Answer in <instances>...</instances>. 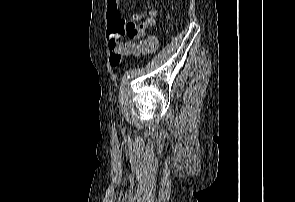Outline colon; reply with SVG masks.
Wrapping results in <instances>:
<instances>
[{
	"instance_id": "colon-1",
	"label": "colon",
	"mask_w": 295,
	"mask_h": 202,
	"mask_svg": "<svg viewBox=\"0 0 295 202\" xmlns=\"http://www.w3.org/2000/svg\"><path fill=\"white\" fill-rule=\"evenodd\" d=\"M111 24L110 31V46L111 49L119 48L127 43L133 42L142 35L143 25L139 23L136 15L122 18L116 23ZM139 46L136 51H143L149 49L148 46Z\"/></svg>"
}]
</instances>
